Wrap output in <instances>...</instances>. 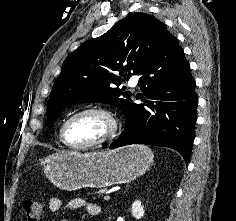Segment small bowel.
<instances>
[{
	"label": "small bowel",
	"mask_w": 236,
	"mask_h": 221,
	"mask_svg": "<svg viewBox=\"0 0 236 221\" xmlns=\"http://www.w3.org/2000/svg\"><path fill=\"white\" fill-rule=\"evenodd\" d=\"M48 205L51 212H59L64 207H67L70 210L84 209L89 216H98L101 212L100 206L97 203L89 202L81 197L69 200L66 205L62 198L52 197L50 198ZM60 221L67 220L61 219Z\"/></svg>",
	"instance_id": "1"
}]
</instances>
